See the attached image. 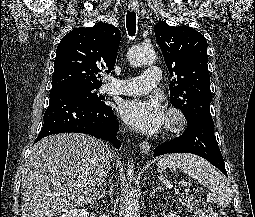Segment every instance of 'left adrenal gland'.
<instances>
[{
    "instance_id": "obj_1",
    "label": "left adrenal gland",
    "mask_w": 255,
    "mask_h": 217,
    "mask_svg": "<svg viewBox=\"0 0 255 217\" xmlns=\"http://www.w3.org/2000/svg\"><path fill=\"white\" fill-rule=\"evenodd\" d=\"M163 188L158 186V187H155V184L152 183V194H151V197L154 196V194L160 190H162Z\"/></svg>"
}]
</instances>
